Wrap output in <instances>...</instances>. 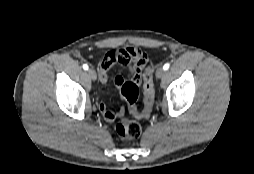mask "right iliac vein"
Masks as SVG:
<instances>
[{
    "mask_svg": "<svg viewBox=\"0 0 254 174\" xmlns=\"http://www.w3.org/2000/svg\"><path fill=\"white\" fill-rule=\"evenodd\" d=\"M88 75L93 81L97 79L96 71L92 68L88 69Z\"/></svg>",
    "mask_w": 254,
    "mask_h": 174,
    "instance_id": "obj_1",
    "label": "right iliac vein"
}]
</instances>
